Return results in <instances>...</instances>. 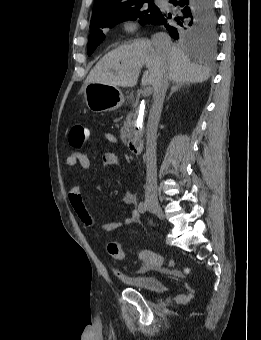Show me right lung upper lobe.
I'll return each instance as SVG.
<instances>
[{
    "label": "right lung upper lobe",
    "instance_id": "right-lung-upper-lobe-1",
    "mask_svg": "<svg viewBox=\"0 0 261 340\" xmlns=\"http://www.w3.org/2000/svg\"><path fill=\"white\" fill-rule=\"evenodd\" d=\"M143 0H95L92 20L97 21L117 13L121 8Z\"/></svg>",
    "mask_w": 261,
    "mask_h": 340
}]
</instances>
